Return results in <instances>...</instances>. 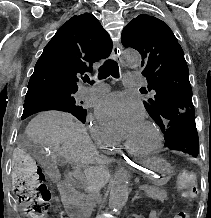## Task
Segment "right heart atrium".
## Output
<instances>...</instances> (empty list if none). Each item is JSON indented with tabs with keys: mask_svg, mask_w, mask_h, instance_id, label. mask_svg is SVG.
I'll list each match as a JSON object with an SVG mask.
<instances>
[{
	"mask_svg": "<svg viewBox=\"0 0 211 218\" xmlns=\"http://www.w3.org/2000/svg\"><path fill=\"white\" fill-rule=\"evenodd\" d=\"M90 131L93 139L99 146H106L113 143V140L111 139L109 134L98 125L91 123Z\"/></svg>",
	"mask_w": 211,
	"mask_h": 218,
	"instance_id": "right-heart-atrium-1",
	"label": "right heart atrium"
}]
</instances>
